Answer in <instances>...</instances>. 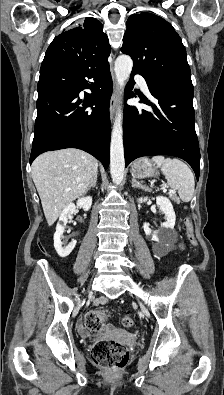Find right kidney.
Masks as SVG:
<instances>
[{"label": "right kidney", "instance_id": "1", "mask_svg": "<svg viewBox=\"0 0 224 395\" xmlns=\"http://www.w3.org/2000/svg\"><path fill=\"white\" fill-rule=\"evenodd\" d=\"M76 205L77 207L82 208L84 211H88L92 205V197H82L78 199ZM76 205L73 203L68 204L60 214L59 221L63 222V224L65 225L68 220L72 218V215L76 211ZM63 233L64 226L58 223L56 226V232L54 234V247L58 255L62 258H65L73 251L77 242L76 240H72V242H70L67 246L63 247V243L61 241Z\"/></svg>", "mask_w": 224, "mask_h": 395}]
</instances>
